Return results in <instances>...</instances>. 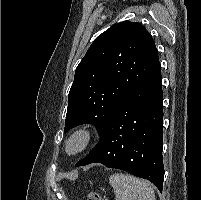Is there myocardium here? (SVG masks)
Wrapping results in <instances>:
<instances>
[{"label": "myocardium", "instance_id": "f54148a6", "mask_svg": "<svg viewBox=\"0 0 201 200\" xmlns=\"http://www.w3.org/2000/svg\"><path fill=\"white\" fill-rule=\"evenodd\" d=\"M95 137L93 129L87 126L73 130L64 143L66 155L73 157L86 151Z\"/></svg>", "mask_w": 201, "mask_h": 200}]
</instances>
